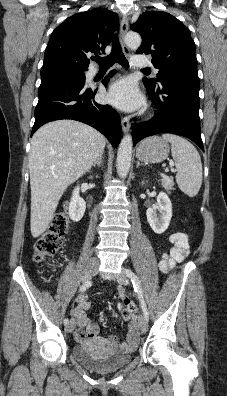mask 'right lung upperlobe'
<instances>
[{
	"label": "right lung upper lobe",
	"mask_w": 227,
	"mask_h": 396,
	"mask_svg": "<svg viewBox=\"0 0 227 396\" xmlns=\"http://www.w3.org/2000/svg\"><path fill=\"white\" fill-rule=\"evenodd\" d=\"M118 27L117 14L107 9L96 8L74 14L52 32L41 71H86L90 62L88 57L104 53Z\"/></svg>",
	"instance_id": "1"
}]
</instances>
